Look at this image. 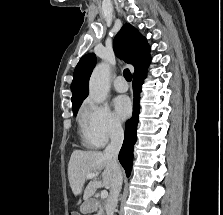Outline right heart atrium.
Masks as SVG:
<instances>
[{"label":"right heart atrium","instance_id":"1","mask_svg":"<svg viewBox=\"0 0 223 215\" xmlns=\"http://www.w3.org/2000/svg\"><path fill=\"white\" fill-rule=\"evenodd\" d=\"M81 125L98 145H103L122 133L121 124L104 104L87 102L82 109Z\"/></svg>","mask_w":223,"mask_h":215}]
</instances>
